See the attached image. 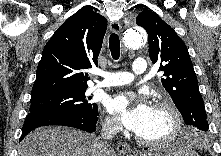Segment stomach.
Here are the masks:
<instances>
[{
	"mask_svg": "<svg viewBox=\"0 0 221 156\" xmlns=\"http://www.w3.org/2000/svg\"><path fill=\"white\" fill-rule=\"evenodd\" d=\"M148 156H198V154L181 143L173 142L151 150Z\"/></svg>",
	"mask_w": 221,
	"mask_h": 156,
	"instance_id": "1",
	"label": "stomach"
}]
</instances>
